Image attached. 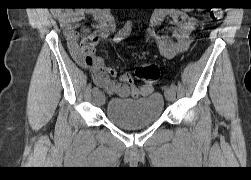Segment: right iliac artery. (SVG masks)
I'll return each mask as SVG.
<instances>
[{
  "instance_id": "82829eb1",
  "label": "right iliac artery",
  "mask_w": 251,
  "mask_h": 180,
  "mask_svg": "<svg viewBox=\"0 0 251 180\" xmlns=\"http://www.w3.org/2000/svg\"><path fill=\"white\" fill-rule=\"evenodd\" d=\"M131 32V23L128 21L126 23V25L121 29L119 30V32L115 35L114 37V41L115 42H119L121 41L122 39H124L125 37H127ZM99 92V88L98 87H94L92 89V93L93 95L97 94Z\"/></svg>"
}]
</instances>
